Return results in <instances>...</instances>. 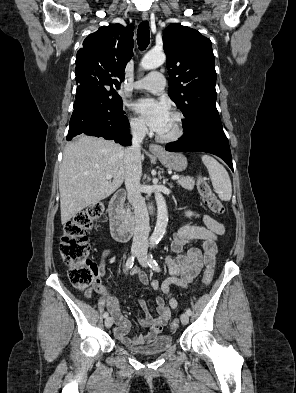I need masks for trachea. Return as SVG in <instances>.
<instances>
[{
	"label": "trachea",
	"mask_w": 296,
	"mask_h": 393,
	"mask_svg": "<svg viewBox=\"0 0 296 393\" xmlns=\"http://www.w3.org/2000/svg\"><path fill=\"white\" fill-rule=\"evenodd\" d=\"M137 42L139 48L144 50L149 42H150V32H149V23L148 21H143L139 24L137 30Z\"/></svg>",
	"instance_id": "obj_1"
}]
</instances>
